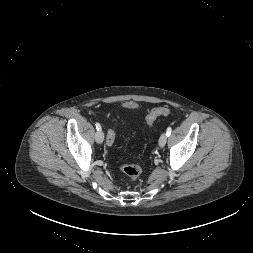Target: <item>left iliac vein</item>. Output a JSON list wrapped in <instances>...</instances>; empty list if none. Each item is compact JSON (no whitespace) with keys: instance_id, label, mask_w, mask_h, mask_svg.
<instances>
[{"instance_id":"1","label":"left iliac vein","mask_w":253,"mask_h":253,"mask_svg":"<svg viewBox=\"0 0 253 253\" xmlns=\"http://www.w3.org/2000/svg\"><path fill=\"white\" fill-rule=\"evenodd\" d=\"M167 141V135L163 133L159 138V146L164 147Z\"/></svg>"}]
</instances>
